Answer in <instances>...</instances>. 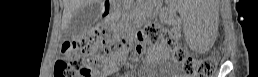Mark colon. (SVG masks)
Returning a JSON list of instances; mask_svg holds the SVG:
<instances>
[{
    "instance_id": "colon-1",
    "label": "colon",
    "mask_w": 258,
    "mask_h": 77,
    "mask_svg": "<svg viewBox=\"0 0 258 77\" xmlns=\"http://www.w3.org/2000/svg\"><path fill=\"white\" fill-rule=\"evenodd\" d=\"M109 34L94 30L67 43L54 66V77H91L100 65V50L107 48L111 53H119L123 46L118 40H109ZM141 43H162L171 51L173 60L183 66L190 77H210L216 62L210 58L191 57L177 42L176 37L157 23L148 24L142 32Z\"/></svg>"
}]
</instances>
